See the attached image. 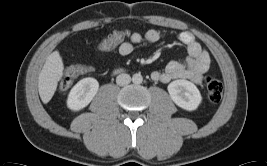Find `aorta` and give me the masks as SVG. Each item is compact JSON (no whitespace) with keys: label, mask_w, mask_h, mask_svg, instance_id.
<instances>
[{"label":"aorta","mask_w":267,"mask_h":166,"mask_svg":"<svg viewBox=\"0 0 267 166\" xmlns=\"http://www.w3.org/2000/svg\"><path fill=\"white\" fill-rule=\"evenodd\" d=\"M132 81L133 83L135 84H140L142 83L143 81V77L140 73H135L133 76H132Z\"/></svg>","instance_id":"762f6f07"}]
</instances>
